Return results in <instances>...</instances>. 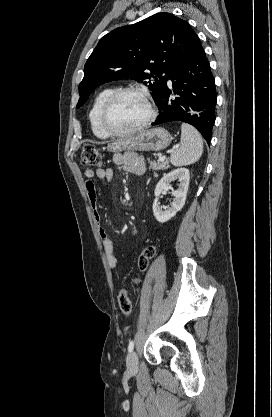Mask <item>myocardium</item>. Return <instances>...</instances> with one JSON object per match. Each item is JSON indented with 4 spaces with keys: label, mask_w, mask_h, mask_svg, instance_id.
Segmentation results:
<instances>
[{
    "label": "myocardium",
    "mask_w": 272,
    "mask_h": 417,
    "mask_svg": "<svg viewBox=\"0 0 272 417\" xmlns=\"http://www.w3.org/2000/svg\"><path fill=\"white\" fill-rule=\"evenodd\" d=\"M125 94H136L139 95L140 97L143 98V100L145 101L148 110H149V114L148 117L146 118V120L141 123L140 125H138L137 127H134L130 130L127 131H115L113 129H111L108 125L107 119H108V114L109 111L112 107V105L115 103V101L120 98L121 96L125 95ZM157 115V111H156V107L154 105V102L151 98V96L149 95V93H147L145 90L139 88V87H124V88H119L116 89L114 92H112L109 97L105 100L101 111H100V125L102 130L108 135V136H113V137H127V136H131L134 135L136 133H139L141 131H143L144 129H146L147 127H149L151 125V123L155 120Z\"/></svg>",
    "instance_id": "f54148a6"
}]
</instances>
